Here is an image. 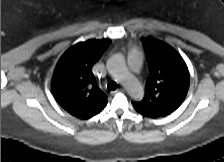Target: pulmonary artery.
I'll return each mask as SVG.
<instances>
[{
    "instance_id": "e3ab8cb5",
    "label": "pulmonary artery",
    "mask_w": 224,
    "mask_h": 162,
    "mask_svg": "<svg viewBox=\"0 0 224 162\" xmlns=\"http://www.w3.org/2000/svg\"><path fill=\"white\" fill-rule=\"evenodd\" d=\"M129 66L133 72H137L139 70V63L135 57L130 58Z\"/></svg>"
}]
</instances>
